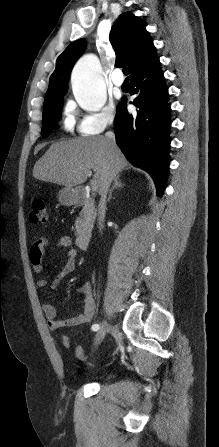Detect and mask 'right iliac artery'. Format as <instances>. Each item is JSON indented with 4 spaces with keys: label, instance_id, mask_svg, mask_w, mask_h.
<instances>
[{
    "label": "right iliac artery",
    "instance_id": "82829eb1",
    "mask_svg": "<svg viewBox=\"0 0 219 447\" xmlns=\"http://www.w3.org/2000/svg\"><path fill=\"white\" fill-rule=\"evenodd\" d=\"M98 329H99V325L98 324L92 325V330L93 331H97Z\"/></svg>",
    "mask_w": 219,
    "mask_h": 447
}]
</instances>
